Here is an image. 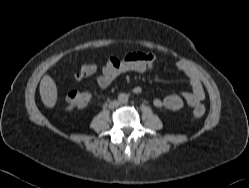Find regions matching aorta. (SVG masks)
<instances>
[{"label": "aorta", "instance_id": "1", "mask_svg": "<svg viewBox=\"0 0 249 188\" xmlns=\"http://www.w3.org/2000/svg\"><path fill=\"white\" fill-rule=\"evenodd\" d=\"M129 96L126 93H120L118 95V101L119 103L126 104L128 102Z\"/></svg>", "mask_w": 249, "mask_h": 188}]
</instances>
